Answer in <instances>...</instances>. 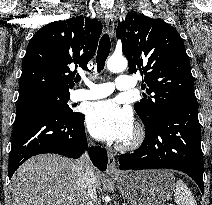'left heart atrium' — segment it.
I'll return each instance as SVG.
<instances>
[{
    "label": "left heart atrium",
    "instance_id": "1",
    "mask_svg": "<svg viewBox=\"0 0 212 205\" xmlns=\"http://www.w3.org/2000/svg\"><path fill=\"white\" fill-rule=\"evenodd\" d=\"M86 123L90 134L101 140L125 141L133 133V115L116 100L109 99L91 104Z\"/></svg>",
    "mask_w": 212,
    "mask_h": 205
}]
</instances>
